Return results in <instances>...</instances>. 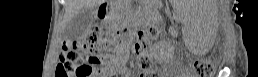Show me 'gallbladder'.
Returning a JSON list of instances; mask_svg holds the SVG:
<instances>
[{
  "mask_svg": "<svg viewBox=\"0 0 258 77\" xmlns=\"http://www.w3.org/2000/svg\"><path fill=\"white\" fill-rule=\"evenodd\" d=\"M96 8H84L75 14L65 28L68 40H77L84 36L95 19Z\"/></svg>",
  "mask_w": 258,
  "mask_h": 77,
  "instance_id": "gallbladder-1",
  "label": "gallbladder"
}]
</instances>
